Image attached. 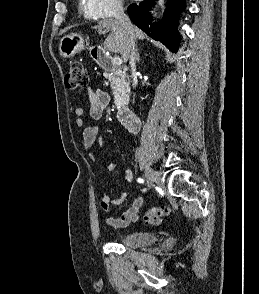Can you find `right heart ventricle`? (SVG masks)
<instances>
[{"label":"right heart ventricle","mask_w":259,"mask_h":294,"mask_svg":"<svg viewBox=\"0 0 259 294\" xmlns=\"http://www.w3.org/2000/svg\"><path fill=\"white\" fill-rule=\"evenodd\" d=\"M79 11L80 13L89 19H95L97 15L95 14L94 10L91 7L90 1L89 0H79Z\"/></svg>","instance_id":"e07e8e85"}]
</instances>
